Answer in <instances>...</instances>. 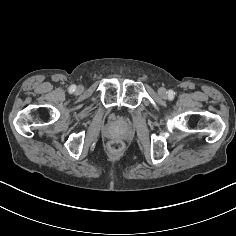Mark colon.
<instances>
[{
	"label": "colon",
	"mask_w": 236,
	"mask_h": 236,
	"mask_svg": "<svg viewBox=\"0 0 236 236\" xmlns=\"http://www.w3.org/2000/svg\"><path fill=\"white\" fill-rule=\"evenodd\" d=\"M109 146L113 151H118L121 148V143L119 141H112Z\"/></svg>",
	"instance_id": "5ec220e1"
}]
</instances>
